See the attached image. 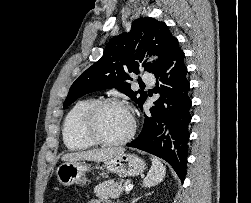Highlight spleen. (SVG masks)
Returning a JSON list of instances; mask_svg holds the SVG:
<instances>
[{"mask_svg": "<svg viewBox=\"0 0 251 203\" xmlns=\"http://www.w3.org/2000/svg\"><path fill=\"white\" fill-rule=\"evenodd\" d=\"M152 166L143 181V186L150 187L160 183L166 174V167L157 158H151Z\"/></svg>", "mask_w": 251, "mask_h": 203, "instance_id": "spleen-1", "label": "spleen"}]
</instances>
